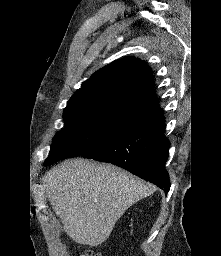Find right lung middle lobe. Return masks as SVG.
Wrapping results in <instances>:
<instances>
[{"label": "right lung middle lobe", "instance_id": "dd1d6c3e", "mask_svg": "<svg viewBox=\"0 0 221 256\" xmlns=\"http://www.w3.org/2000/svg\"><path fill=\"white\" fill-rule=\"evenodd\" d=\"M64 119V128L56 133L44 165L80 156L109 137L145 122L144 115L117 107L67 111Z\"/></svg>", "mask_w": 221, "mask_h": 256}]
</instances>
